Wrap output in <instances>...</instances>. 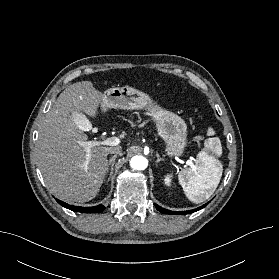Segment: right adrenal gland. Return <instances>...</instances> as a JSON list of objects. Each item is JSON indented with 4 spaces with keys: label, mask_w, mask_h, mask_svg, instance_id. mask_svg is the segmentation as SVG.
<instances>
[{
    "label": "right adrenal gland",
    "mask_w": 279,
    "mask_h": 279,
    "mask_svg": "<svg viewBox=\"0 0 279 279\" xmlns=\"http://www.w3.org/2000/svg\"><path fill=\"white\" fill-rule=\"evenodd\" d=\"M116 157H117V155H113V156L109 159V163H108V166H107V173H109V178L107 179V182H109L110 177H111L112 174H113V169H114L113 167H114V163H115Z\"/></svg>",
    "instance_id": "obj_1"
}]
</instances>
